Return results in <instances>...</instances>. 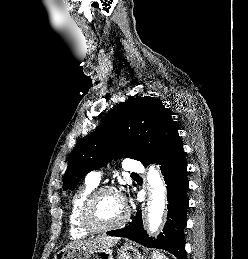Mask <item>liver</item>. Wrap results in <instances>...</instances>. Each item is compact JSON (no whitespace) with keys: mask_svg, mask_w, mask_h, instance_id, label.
<instances>
[{"mask_svg":"<svg viewBox=\"0 0 248 259\" xmlns=\"http://www.w3.org/2000/svg\"><path fill=\"white\" fill-rule=\"evenodd\" d=\"M119 240L120 237L99 236L88 240L76 241L70 244V246H75L78 248H84L89 250L109 249L115 246L119 242Z\"/></svg>","mask_w":248,"mask_h":259,"instance_id":"6515ba94","label":"liver"}]
</instances>
